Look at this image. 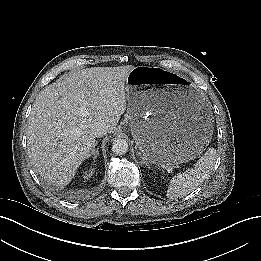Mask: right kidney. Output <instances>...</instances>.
Returning a JSON list of instances; mask_svg holds the SVG:
<instances>
[{"instance_id":"obj_1","label":"right kidney","mask_w":261,"mask_h":261,"mask_svg":"<svg viewBox=\"0 0 261 261\" xmlns=\"http://www.w3.org/2000/svg\"><path fill=\"white\" fill-rule=\"evenodd\" d=\"M94 173V169H90L89 171H85V175L84 178L88 179L89 177H91Z\"/></svg>"}]
</instances>
